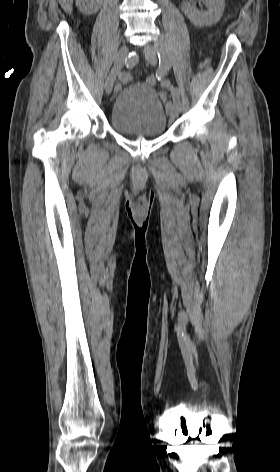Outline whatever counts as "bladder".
<instances>
[{
  "instance_id": "bladder-1",
  "label": "bladder",
  "mask_w": 280,
  "mask_h": 472,
  "mask_svg": "<svg viewBox=\"0 0 280 472\" xmlns=\"http://www.w3.org/2000/svg\"><path fill=\"white\" fill-rule=\"evenodd\" d=\"M109 123L122 134L160 136L166 132L168 120L156 90L142 82H134L116 95Z\"/></svg>"
}]
</instances>
